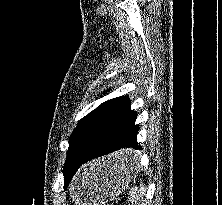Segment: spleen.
I'll list each match as a JSON object with an SVG mask.
<instances>
[{
  "label": "spleen",
  "mask_w": 222,
  "mask_h": 205,
  "mask_svg": "<svg viewBox=\"0 0 222 205\" xmlns=\"http://www.w3.org/2000/svg\"><path fill=\"white\" fill-rule=\"evenodd\" d=\"M145 186H140L139 189L135 188L131 190V200L135 205H147L148 202H143V196L145 195Z\"/></svg>",
  "instance_id": "obj_1"
}]
</instances>
